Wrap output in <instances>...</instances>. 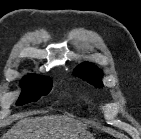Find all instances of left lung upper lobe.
<instances>
[{"label": "left lung upper lobe", "mask_w": 141, "mask_h": 139, "mask_svg": "<svg viewBox=\"0 0 141 139\" xmlns=\"http://www.w3.org/2000/svg\"><path fill=\"white\" fill-rule=\"evenodd\" d=\"M74 75L93 84L95 87H102V71L90 63H82L74 70Z\"/></svg>", "instance_id": "left-lung-upper-lobe-1"}]
</instances>
